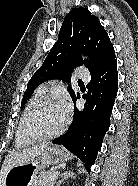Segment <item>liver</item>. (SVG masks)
Returning <instances> with one entry per match:
<instances>
[{
  "label": "liver",
  "mask_w": 138,
  "mask_h": 186,
  "mask_svg": "<svg viewBox=\"0 0 138 186\" xmlns=\"http://www.w3.org/2000/svg\"><path fill=\"white\" fill-rule=\"evenodd\" d=\"M48 147L47 143L33 145L26 149L12 150L5 157L0 171V186H4V180L7 171L15 166L27 164L34 161Z\"/></svg>",
  "instance_id": "liver-1"
}]
</instances>
